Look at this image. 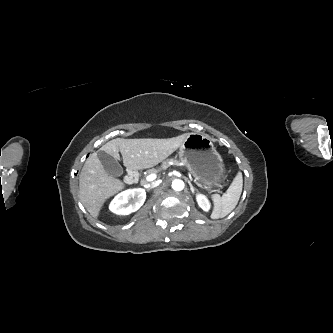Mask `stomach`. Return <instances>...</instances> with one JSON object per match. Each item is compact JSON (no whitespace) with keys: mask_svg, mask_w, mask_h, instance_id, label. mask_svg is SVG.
<instances>
[{"mask_svg":"<svg viewBox=\"0 0 333 333\" xmlns=\"http://www.w3.org/2000/svg\"><path fill=\"white\" fill-rule=\"evenodd\" d=\"M179 158L204 186L217 187L225 178L223 159L206 134L190 133L180 146Z\"/></svg>","mask_w":333,"mask_h":333,"instance_id":"0dacf381","label":"stomach"}]
</instances>
